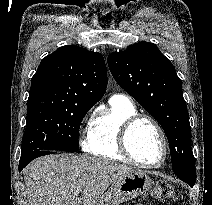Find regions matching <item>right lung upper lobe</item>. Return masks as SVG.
<instances>
[{"mask_svg": "<svg viewBox=\"0 0 212 205\" xmlns=\"http://www.w3.org/2000/svg\"><path fill=\"white\" fill-rule=\"evenodd\" d=\"M106 87V65L100 53L63 46L41 61L31 80L27 105H94Z\"/></svg>", "mask_w": 212, "mask_h": 205, "instance_id": "right-lung-upper-lobe-1", "label": "right lung upper lobe"}]
</instances>
